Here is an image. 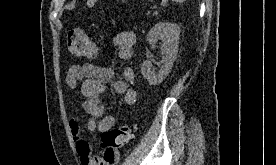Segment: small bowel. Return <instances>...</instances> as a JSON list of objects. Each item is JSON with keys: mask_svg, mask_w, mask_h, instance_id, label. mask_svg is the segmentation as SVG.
<instances>
[{"mask_svg": "<svg viewBox=\"0 0 276 165\" xmlns=\"http://www.w3.org/2000/svg\"><path fill=\"white\" fill-rule=\"evenodd\" d=\"M136 36L132 32L117 34L113 43L118 48V58L128 61L132 58ZM113 70L94 63L75 64L66 74V83L70 88L79 89L82 97V108L88 116L87 128L90 132L104 133L111 130L116 122L113 115H105V105L102 95L105 85L113 78ZM135 78L134 71L127 67L124 69V79L116 80L113 84L115 93L122 95L125 104L133 105L136 102V91L131 87ZM69 127L81 165H115L118 161V151L112 157L106 151L101 156L92 155L89 143L82 137L79 119L72 116Z\"/></svg>", "mask_w": 276, "mask_h": 165, "instance_id": "c3829d8e", "label": "small bowel"}]
</instances>
